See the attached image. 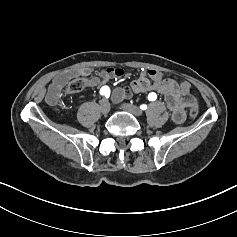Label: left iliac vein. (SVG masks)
I'll return each mask as SVG.
<instances>
[{
    "mask_svg": "<svg viewBox=\"0 0 237 237\" xmlns=\"http://www.w3.org/2000/svg\"><path fill=\"white\" fill-rule=\"evenodd\" d=\"M122 110L127 111L137 117L143 114V111L140 108L133 106L132 104L129 103L122 104Z\"/></svg>",
    "mask_w": 237,
    "mask_h": 237,
    "instance_id": "1",
    "label": "left iliac vein"
}]
</instances>
